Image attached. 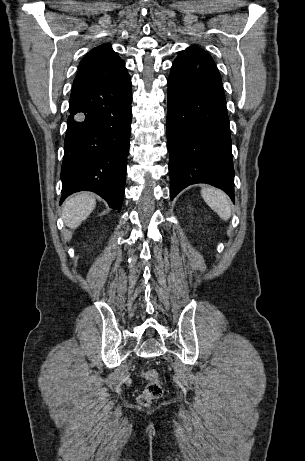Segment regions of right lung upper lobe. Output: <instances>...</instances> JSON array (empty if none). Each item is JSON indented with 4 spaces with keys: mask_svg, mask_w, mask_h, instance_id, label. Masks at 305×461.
I'll list each match as a JSON object with an SVG mask.
<instances>
[{
    "mask_svg": "<svg viewBox=\"0 0 305 461\" xmlns=\"http://www.w3.org/2000/svg\"><path fill=\"white\" fill-rule=\"evenodd\" d=\"M126 72L125 63L111 45H100L89 51L80 62L73 87L104 83Z\"/></svg>",
    "mask_w": 305,
    "mask_h": 461,
    "instance_id": "1",
    "label": "right lung upper lobe"
}]
</instances>
